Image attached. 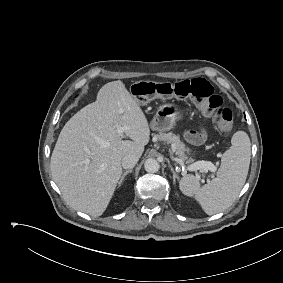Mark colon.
<instances>
[{
  "label": "colon",
  "instance_id": "colon-1",
  "mask_svg": "<svg viewBox=\"0 0 283 283\" xmlns=\"http://www.w3.org/2000/svg\"><path fill=\"white\" fill-rule=\"evenodd\" d=\"M132 94L141 105L156 98H189L195 101L205 115L212 117L215 128L227 133L233 124L232 111L222 106V98L210 82L194 78L176 83L140 81L132 86Z\"/></svg>",
  "mask_w": 283,
  "mask_h": 283
}]
</instances>
